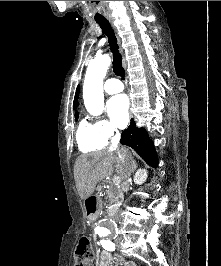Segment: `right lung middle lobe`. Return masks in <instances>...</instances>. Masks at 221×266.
I'll return each mask as SVG.
<instances>
[{"mask_svg": "<svg viewBox=\"0 0 221 266\" xmlns=\"http://www.w3.org/2000/svg\"><path fill=\"white\" fill-rule=\"evenodd\" d=\"M75 117L78 118V115L75 114Z\"/></svg>", "mask_w": 221, "mask_h": 266, "instance_id": "right-lung-middle-lobe-1", "label": "right lung middle lobe"}]
</instances>
